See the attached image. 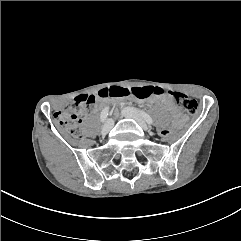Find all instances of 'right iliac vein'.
Segmentation results:
<instances>
[{"label":"right iliac vein","instance_id":"63e3f726","mask_svg":"<svg viewBox=\"0 0 241 241\" xmlns=\"http://www.w3.org/2000/svg\"><path fill=\"white\" fill-rule=\"evenodd\" d=\"M114 121L112 119L107 120L102 127V134L106 135L113 127Z\"/></svg>","mask_w":241,"mask_h":241}]
</instances>
